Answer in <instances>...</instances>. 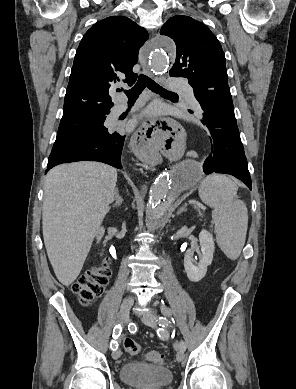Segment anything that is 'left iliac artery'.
I'll return each instance as SVG.
<instances>
[{
	"instance_id": "obj_1",
	"label": "left iliac artery",
	"mask_w": 296,
	"mask_h": 389,
	"mask_svg": "<svg viewBox=\"0 0 296 389\" xmlns=\"http://www.w3.org/2000/svg\"><path fill=\"white\" fill-rule=\"evenodd\" d=\"M158 323H159V325L162 326V327H167V326L170 325L171 322H170V320H167V319H165V318L162 316V317H159ZM163 330H164V329H159V330L157 331V334H158L160 337L164 335ZM178 347H181L183 350L186 349V345H185V343H184L183 340H181V341L179 342Z\"/></svg>"
}]
</instances>
